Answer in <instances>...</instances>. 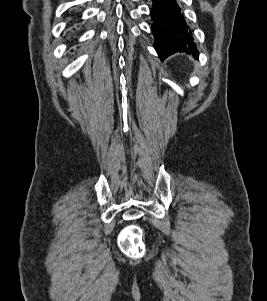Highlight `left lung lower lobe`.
I'll list each match as a JSON object with an SVG mask.
<instances>
[{"label": "left lung lower lobe", "instance_id": "obj_1", "mask_svg": "<svg viewBox=\"0 0 267 301\" xmlns=\"http://www.w3.org/2000/svg\"><path fill=\"white\" fill-rule=\"evenodd\" d=\"M151 18L154 47L161 60L175 52L198 56L192 33L176 0H153Z\"/></svg>", "mask_w": 267, "mask_h": 301}]
</instances>
